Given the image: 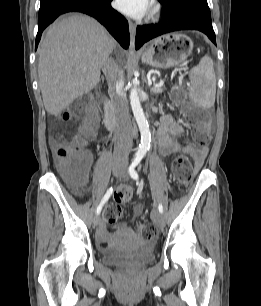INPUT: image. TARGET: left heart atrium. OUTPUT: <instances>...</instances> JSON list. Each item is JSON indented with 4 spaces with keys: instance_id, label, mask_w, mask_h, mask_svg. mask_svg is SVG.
<instances>
[{
    "instance_id": "39dd6f15",
    "label": "left heart atrium",
    "mask_w": 261,
    "mask_h": 306,
    "mask_svg": "<svg viewBox=\"0 0 261 306\" xmlns=\"http://www.w3.org/2000/svg\"><path fill=\"white\" fill-rule=\"evenodd\" d=\"M116 8L130 17H141L150 8V0H115Z\"/></svg>"
}]
</instances>
